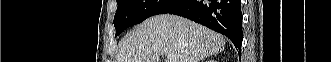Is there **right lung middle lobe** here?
I'll use <instances>...</instances> for the list:
<instances>
[{
	"instance_id": "dd1d6c3e",
	"label": "right lung middle lobe",
	"mask_w": 331,
	"mask_h": 62,
	"mask_svg": "<svg viewBox=\"0 0 331 62\" xmlns=\"http://www.w3.org/2000/svg\"><path fill=\"white\" fill-rule=\"evenodd\" d=\"M177 2L179 0H117L118 7L113 21L116 29L115 36L153 15L162 14Z\"/></svg>"
}]
</instances>
